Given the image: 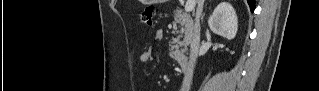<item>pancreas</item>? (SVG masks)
<instances>
[{"label": "pancreas", "mask_w": 319, "mask_h": 91, "mask_svg": "<svg viewBox=\"0 0 319 91\" xmlns=\"http://www.w3.org/2000/svg\"><path fill=\"white\" fill-rule=\"evenodd\" d=\"M174 23L179 24L181 30H175L178 35L172 39L173 46L170 49V57L180 62L192 38L193 25L192 19L181 9L174 11ZM181 38L183 39L180 40Z\"/></svg>", "instance_id": "obj_1"}]
</instances>
